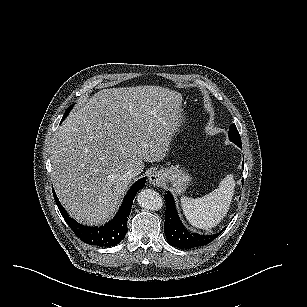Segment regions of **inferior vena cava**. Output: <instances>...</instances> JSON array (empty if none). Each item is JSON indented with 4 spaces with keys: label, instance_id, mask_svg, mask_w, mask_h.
<instances>
[{
    "label": "inferior vena cava",
    "instance_id": "inferior-vena-cava-1",
    "mask_svg": "<svg viewBox=\"0 0 307 307\" xmlns=\"http://www.w3.org/2000/svg\"><path fill=\"white\" fill-rule=\"evenodd\" d=\"M138 175V172L136 169H131L127 172V177L128 178H134Z\"/></svg>",
    "mask_w": 307,
    "mask_h": 307
}]
</instances>
